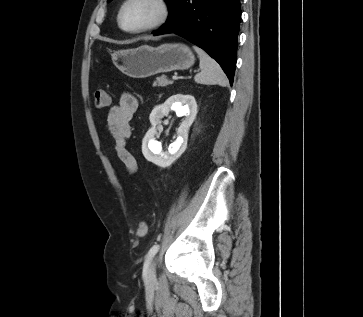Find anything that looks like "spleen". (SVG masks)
<instances>
[{"label": "spleen", "mask_w": 363, "mask_h": 317, "mask_svg": "<svg viewBox=\"0 0 363 317\" xmlns=\"http://www.w3.org/2000/svg\"><path fill=\"white\" fill-rule=\"evenodd\" d=\"M200 59L201 72L196 74L194 80L199 84H219L227 86L229 81L223 72L221 66L208 55L203 49L193 46Z\"/></svg>", "instance_id": "obj_1"}]
</instances>
